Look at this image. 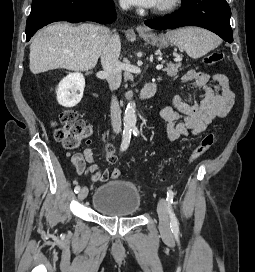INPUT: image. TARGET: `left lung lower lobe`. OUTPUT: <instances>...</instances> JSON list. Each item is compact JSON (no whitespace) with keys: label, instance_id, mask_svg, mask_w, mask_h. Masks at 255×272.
Returning <instances> with one entry per match:
<instances>
[{"label":"left lung lower lobe","instance_id":"left-lung-lower-lobe-1","mask_svg":"<svg viewBox=\"0 0 255 272\" xmlns=\"http://www.w3.org/2000/svg\"><path fill=\"white\" fill-rule=\"evenodd\" d=\"M231 10L226 0H183L182 8L165 17L146 20L152 29H174L182 26L206 28L223 40L232 43L233 34L230 26Z\"/></svg>","mask_w":255,"mask_h":272}]
</instances>
